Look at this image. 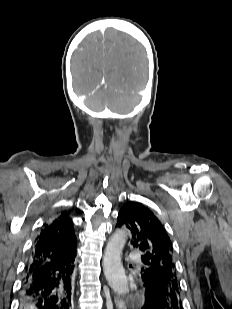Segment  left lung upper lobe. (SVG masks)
Here are the masks:
<instances>
[{"instance_id": "5c2ea615", "label": "left lung upper lobe", "mask_w": 232, "mask_h": 309, "mask_svg": "<svg viewBox=\"0 0 232 309\" xmlns=\"http://www.w3.org/2000/svg\"><path fill=\"white\" fill-rule=\"evenodd\" d=\"M123 226L131 230V246L142 253L141 276L158 284L172 301L181 302L172 242L159 219L142 204L128 202L117 218L116 227Z\"/></svg>"}]
</instances>
